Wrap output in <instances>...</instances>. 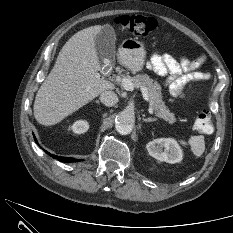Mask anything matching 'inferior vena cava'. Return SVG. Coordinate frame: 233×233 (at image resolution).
Here are the masks:
<instances>
[{"mask_svg":"<svg viewBox=\"0 0 233 233\" xmlns=\"http://www.w3.org/2000/svg\"><path fill=\"white\" fill-rule=\"evenodd\" d=\"M99 99L104 105L108 107L114 106L118 102V96L113 91L102 92Z\"/></svg>","mask_w":233,"mask_h":233,"instance_id":"1","label":"inferior vena cava"}]
</instances>
